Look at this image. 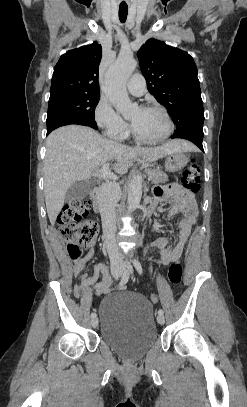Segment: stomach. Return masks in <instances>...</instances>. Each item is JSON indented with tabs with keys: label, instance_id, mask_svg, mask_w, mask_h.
<instances>
[{
	"label": "stomach",
	"instance_id": "0dacf381",
	"mask_svg": "<svg viewBox=\"0 0 247 407\" xmlns=\"http://www.w3.org/2000/svg\"><path fill=\"white\" fill-rule=\"evenodd\" d=\"M189 162V157L184 152H174L165 155V169L169 172L182 170Z\"/></svg>",
	"mask_w": 247,
	"mask_h": 407
}]
</instances>
